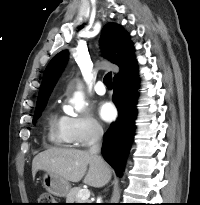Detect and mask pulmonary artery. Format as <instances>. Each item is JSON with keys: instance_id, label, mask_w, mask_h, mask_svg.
I'll return each instance as SVG.
<instances>
[{"instance_id": "pulmonary-artery-1", "label": "pulmonary artery", "mask_w": 200, "mask_h": 205, "mask_svg": "<svg viewBox=\"0 0 200 205\" xmlns=\"http://www.w3.org/2000/svg\"><path fill=\"white\" fill-rule=\"evenodd\" d=\"M95 89V92L98 94V95H104L106 93V88L103 84L102 81H98L94 87Z\"/></svg>"}]
</instances>
